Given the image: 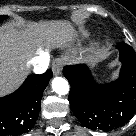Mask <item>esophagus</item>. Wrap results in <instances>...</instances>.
<instances>
[{"mask_svg":"<svg viewBox=\"0 0 136 136\" xmlns=\"http://www.w3.org/2000/svg\"><path fill=\"white\" fill-rule=\"evenodd\" d=\"M64 62L62 59H56L52 64V71L55 76L60 75L62 72Z\"/></svg>","mask_w":136,"mask_h":136,"instance_id":"esophagus-1","label":"esophagus"}]
</instances>
